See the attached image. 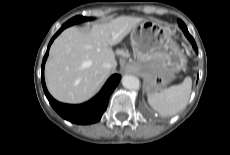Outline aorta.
<instances>
[{"label": "aorta", "instance_id": "obj_1", "mask_svg": "<svg viewBox=\"0 0 230 155\" xmlns=\"http://www.w3.org/2000/svg\"><path fill=\"white\" fill-rule=\"evenodd\" d=\"M122 85L129 90L137 91L140 89V81L133 75H124L122 77Z\"/></svg>", "mask_w": 230, "mask_h": 155}]
</instances>
